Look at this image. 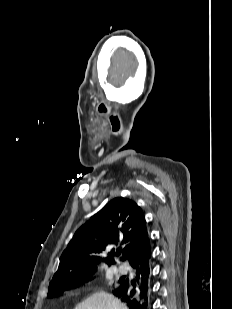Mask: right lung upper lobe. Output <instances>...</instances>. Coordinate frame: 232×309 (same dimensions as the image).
<instances>
[{
  "mask_svg": "<svg viewBox=\"0 0 232 309\" xmlns=\"http://www.w3.org/2000/svg\"><path fill=\"white\" fill-rule=\"evenodd\" d=\"M105 251L109 256L101 258ZM120 253L131 265L151 255V244L142 209L133 200L117 197L75 232L49 287L94 273L101 261L110 266Z\"/></svg>",
  "mask_w": 232,
  "mask_h": 309,
  "instance_id": "cb5924a9",
  "label": "right lung upper lobe"
}]
</instances>
